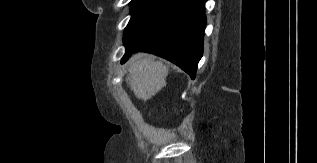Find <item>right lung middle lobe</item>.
<instances>
[{
  "mask_svg": "<svg viewBox=\"0 0 317 163\" xmlns=\"http://www.w3.org/2000/svg\"><path fill=\"white\" fill-rule=\"evenodd\" d=\"M175 2L173 0H132L130 2L132 17L125 28L124 39L148 27L169 10Z\"/></svg>",
  "mask_w": 317,
  "mask_h": 163,
  "instance_id": "1",
  "label": "right lung middle lobe"
}]
</instances>
